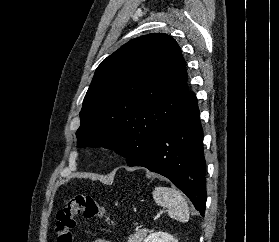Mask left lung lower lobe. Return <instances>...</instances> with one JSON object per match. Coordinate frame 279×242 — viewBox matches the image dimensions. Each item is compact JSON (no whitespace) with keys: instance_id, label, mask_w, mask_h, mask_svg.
I'll list each match as a JSON object with an SVG mask.
<instances>
[{"instance_id":"0a47b994","label":"left lung lower lobe","mask_w":279,"mask_h":242,"mask_svg":"<svg viewBox=\"0 0 279 242\" xmlns=\"http://www.w3.org/2000/svg\"><path fill=\"white\" fill-rule=\"evenodd\" d=\"M142 166L170 179L201 213L206 207V162L203 130L193 92L171 122L146 150L128 162Z\"/></svg>"}]
</instances>
